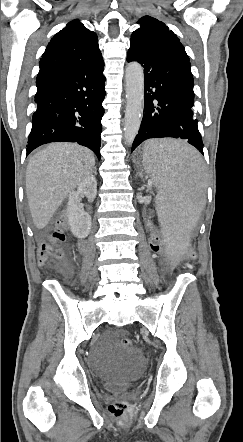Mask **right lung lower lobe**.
Segmentation results:
<instances>
[{"label": "right lung lower lobe", "mask_w": 243, "mask_h": 442, "mask_svg": "<svg viewBox=\"0 0 243 442\" xmlns=\"http://www.w3.org/2000/svg\"><path fill=\"white\" fill-rule=\"evenodd\" d=\"M104 62L37 77L36 111L27 155L50 142H77L100 159L105 92Z\"/></svg>", "instance_id": "obj_1"}]
</instances>
